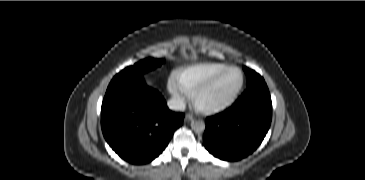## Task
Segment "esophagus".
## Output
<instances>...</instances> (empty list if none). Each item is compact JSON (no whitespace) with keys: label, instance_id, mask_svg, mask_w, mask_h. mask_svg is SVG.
I'll return each instance as SVG.
<instances>
[{"label":"esophagus","instance_id":"esophagus-1","mask_svg":"<svg viewBox=\"0 0 365 180\" xmlns=\"http://www.w3.org/2000/svg\"><path fill=\"white\" fill-rule=\"evenodd\" d=\"M193 119H194V117H193V115H192V114L187 113V114L185 115V121H191V120H193Z\"/></svg>","mask_w":365,"mask_h":180}]
</instances>
